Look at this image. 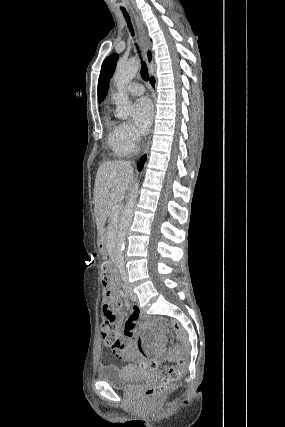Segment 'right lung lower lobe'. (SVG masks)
I'll return each instance as SVG.
<instances>
[{"instance_id": "obj_1", "label": "right lung lower lobe", "mask_w": 285, "mask_h": 427, "mask_svg": "<svg viewBox=\"0 0 285 427\" xmlns=\"http://www.w3.org/2000/svg\"><path fill=\"white\" fill-rule=\"evenodd\" d=\"M150 82H151L152 86L154 87V82H155L154 78H151ZM145 161H146V155L142 156L141 159L139 160L138 164H137V168L139 171L142 170Z\"/></svg>"}]
</instances>
